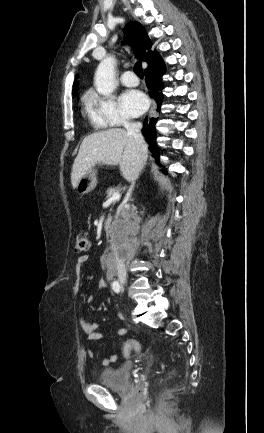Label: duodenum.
<instances>
[{"label":"duodenum","mask_w":264,"mask_h":433,"mask_svg":"<svg viewBox=\"0 0 264 433\" xmlns=\"http://www.w3.org/2000/svg\"><path fill=\"white\" fill-rule=\"evenodd\" d=\"M111 229H112V224L110 222H106L105 223V231L107 233V236L111 237ZM118 267V252L117 250L114 248L111 252V259L108 262V269H109V273H113L117 270Z\"/></svg>","instance_id":"duodenum-1"}]
</instances>
